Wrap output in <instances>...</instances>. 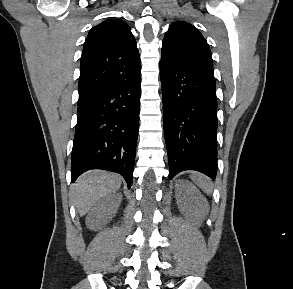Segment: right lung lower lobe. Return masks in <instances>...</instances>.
<instances>
[{"mask_svg":"<svg viewBox=\"0 0 293 289\" xmlns=\"http://www.w3.org/2000/svg\"><path fill=\"white\" fill-rule=\"evenodd\" d=\"M141 76L78 104L72 149V182L85 171L104 169L132 184L139 128Z\"/></svg>","mask_w":293,"mask_h":289,"instance_id":"98d812e1","label":"right lung lower lobe"}]
</instances>
